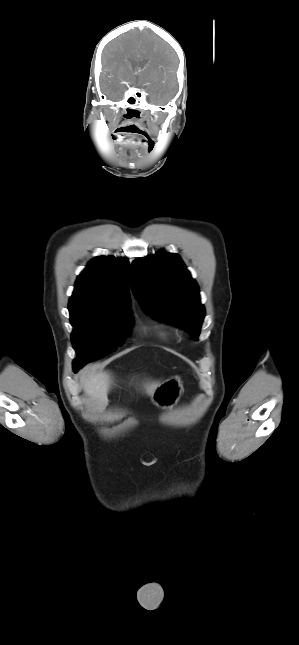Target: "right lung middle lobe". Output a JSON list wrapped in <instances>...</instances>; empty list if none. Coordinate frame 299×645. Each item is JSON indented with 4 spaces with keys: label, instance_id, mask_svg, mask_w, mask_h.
Masks as SVG:
<instances>
[{
    "label": "right lung middle lobe",
    "instance_id": "dd1d6c3e",
    "mask_svg": "<svg viewBox=\"0 0 299 645\" xmlns=\"http://www.w3.org/2000/svg\"><path fill=\"white\" fill-rule=\"evenodd\" d=\"M69 311L74 328L71 340L77 353L73 361L75 372L86 363L115 351L133 325L128 308L69 307Z\"/></svg>",
    "mask_w": 299,
    "mask_h": 645
}]
</instances>
